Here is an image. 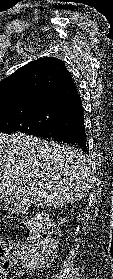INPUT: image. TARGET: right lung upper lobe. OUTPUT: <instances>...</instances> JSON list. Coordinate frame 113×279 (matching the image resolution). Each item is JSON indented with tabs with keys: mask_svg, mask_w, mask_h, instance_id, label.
<instances>
[{
	"mask_svg": "<svg viewBox=\"0 0 113 279\" xmlns=\"http://www.w3.org/2000/svg\"><path fill=\"white\" fill-rule=\"evenodd\" d=\"M80 103L71 73L58 58L34 60L0 82V110L49 107L69 111Z\"/></svg>",
	"mask_w": 113,
	"mask_h": 279,
	"instance_id": "cb5924a9",
	"label": "right lung upper lobe"
}]
</instances>
